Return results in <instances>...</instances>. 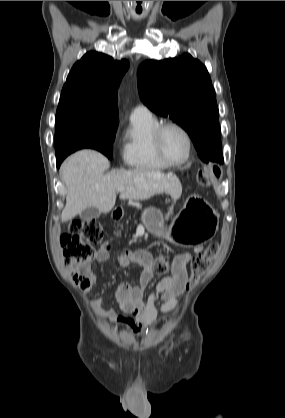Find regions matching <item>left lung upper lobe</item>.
I'll list each match as a JSON object with an SVG mask.
<instances>
[{
    "instance_id": "left-lung-upper-lobe-1",
    "label": "left lung upper lobe",
    "mask_w": 285,
    "mask_h": 418,
    "mask_svg": "<svg viewBox=\"0 0 285 418\" xmlns=\"http://www.w3.org/2000/svg\"><path fill=\"white\" fill-rule=\"evenodd\" d=\"M138 89L153 112L169 116L187 131L199 157L223 163L221 128L215 91L206 67L190 54L161 61L148 60L138 68Z\"/></svg>"
}]
</instances>
